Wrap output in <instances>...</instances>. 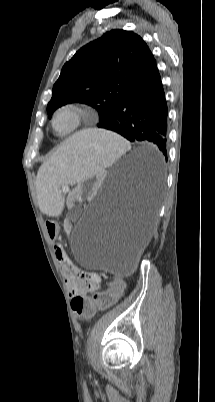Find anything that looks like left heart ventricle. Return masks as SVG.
<instances>
[{
    "mask_svg": "<svg viewBox=\"0 0 215 402\" xmlns=\"http://www.w3.org/2000/svg\"><path fill=\"white\" fill-rule=\"evenodd\" d=\"M71 117L68 115L60 116L56 121V128L58 131H64L71 125Z\"/></svg>",
    "mask_w": 215,
    "mask_h": 402,
    "instance_id": "b2bd125f",
    "label": "left heart ventricle"
}]
</instances>
